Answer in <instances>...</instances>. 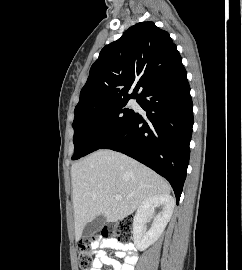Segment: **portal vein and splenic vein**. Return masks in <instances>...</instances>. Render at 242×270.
Masks as SVG:
<instances>
[{
  "label": "portal vein and splenic vein",
  "mask_w": 242,
  "mask_h": 270,
  "mask_svg": "<svg viewBox=\"0 0 242 270\" xmlns=\"http://www.w3.org/2000/svg\"><path fill=\"white\" fill-rule=\"evenodd\" d=\"M115 199H116V200H122L123 198H122L121 195H115Z\"/></svg>",
  "instance_id": "obj_1"
}]
</instances>
